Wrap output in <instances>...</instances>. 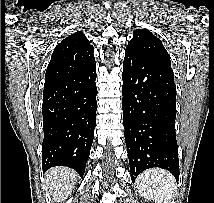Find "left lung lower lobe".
<instances>
[{
	"label": "left lung lower lobe",
	"mask_w": 214,
	"mask_h": 203,
	"mask_svg": "<svg viewBox=\"0 0 214 203\" xmlns=\"http://www.w3.org/2000/svg\"><path fill=\"white\" fill-rule=\"evenodd\" d=\"M122 109L132 182L160 167L179 179L176 87L171 67L125 51Z\"/></svg>",
	"instance_id": "0a47b994"
}]
</instances>
